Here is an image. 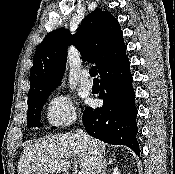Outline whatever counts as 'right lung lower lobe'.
Listing matches in <instances>:
<instances>
[{
  "instance_id": "right-lung-lower-lobe-1",
  "label": "right lung lower lobe",
  "mask_w": 175,
  "mask_h": 174,
  "mask_svg": "<svg viewBox=\"0 0 175 174\" xmlns=\"http://www.w3.org/2000/svg\"><path fill=\"white\" fill-rule=\"evenodd\" d=\"M100 78L99 98L103 99V106L84 110L82 120L86 132L108 144L126 145L139 154L137 109L127 55L108 65Z\"/></svg>"
}]
</instances>
